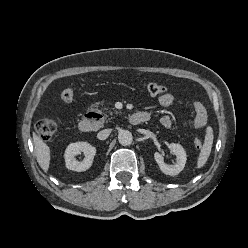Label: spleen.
<instances>
[{"label":"spleen","mask_w":248,"mask_h":248,"mask_svg":"<svg viewBox=\"0 0 248 248\" xmlns=\"http://www.w3.org/2000/svg\"><path fill=\"white\" fill-rule=\"evenodd\" d=\"M213 133H212V130H207V133H206V136H205V140H204V144L201 148V152L199 154V157H198V161H197V168L200 169L202 168L209 156H210V153H211V148H212V144H213Z\"/></svg>","instance_id":"3e777b00"}]
</instances>
